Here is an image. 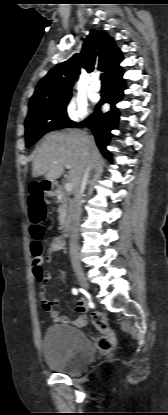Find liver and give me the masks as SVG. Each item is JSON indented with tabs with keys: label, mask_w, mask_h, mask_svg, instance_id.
I'll use <instances>...</instances> for the list:
<instances>
[{
	"label": "liver",
	"mask_w": 168,
	"mask_h": 415,
	"mask_svg": "<svg viewBox=\"0 0 168 415\" xmlns=\"http://www.w3.org/2000/svg\"><path fill=\"white\" fill-rule=\"evenodd\" d=\"M101 155L94 140L80 129H66L47 134L37 149L33 160L32 176H44L53 181L69 165L67 180L72 183L73 191L81 179L86 167H95Z\"/></svg>",
	"instance_id": "1"
}]
</instances>
